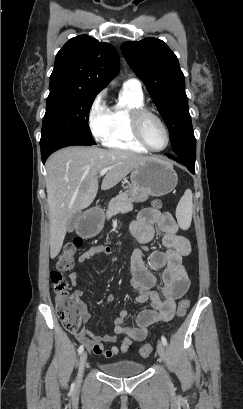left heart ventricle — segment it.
I'll use <instances>...</instances> for the list:
<instances>
[{
  "mask_svg": "<svg viewBox=\"0 0 243 409\" xmlns=\"http://www.w3.org/2000/svg\"><path fill=\"white\" fill-rule=\"evenodd\" d=\"M143 133L146 141L155 149H161L166 144V134L161 124L152 117L143 121Z\"/></svg>",
  "mask_w": 243,
  "mask_h": 409,
  "instance_id": "1",
  "label": "left heart ventricle"
}]
</instances>
